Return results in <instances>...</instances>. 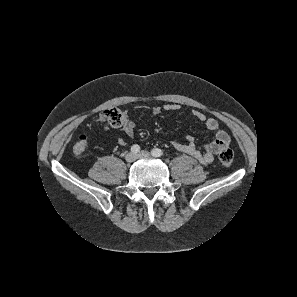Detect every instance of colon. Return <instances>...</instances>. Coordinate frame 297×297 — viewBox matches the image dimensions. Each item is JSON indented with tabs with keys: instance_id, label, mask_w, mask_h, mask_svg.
Instances as JSON below:
<instances>
[{
	"instance_id": "obj_1",
	"label": "colon",
	"mask_w": 297,
	"mask_h": 297,
	"mask_svg": "<svg viewBox=\"0 0 297 297\" xmlns=\"http://www.w3.org/2000/svg\"><path fill=\"white\" fill-rule=\"evenodd\" d=\"M100 119L113 127H119L124 122V114L118 108H111L104 110L100 114ZM89 147V140L86 136L81 135L73 146V152L77 157H84L87 155ZM234 159V153L230 149H224L219 154V163L222 167H229Z\"/></svg>"
}]
</instances>
